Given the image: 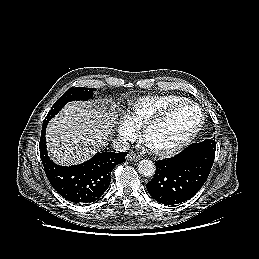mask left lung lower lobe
I'll use <instances>...</instances> for the list:
<instances>
[{
    "mask_svg": "<svg viewBox=\"0 0 259 259\" xmlns=\"http://www.w3.org/2000/svg\"><path fill=\"white\" fill-rule=\"evenodd\" d=\"M216 148L194 143L179 154L156 162L148 193L159 203L174 205L192 198L211 171Z\"/></svg>",
    "mask_w": 259,
    "mask_h": 259,
    "instance_id": "obj_1",
    "label": "left lung lower lobe"
}]
</instances>
